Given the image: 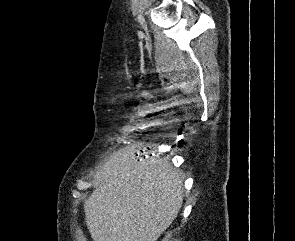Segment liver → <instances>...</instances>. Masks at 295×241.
I'll use <instances>...</instances> for the list:
<instances>
[{
  "label": "liver",
  "mask_w": 295,
  "mask_h": 241,
  "mask_svg": "<svg viewBox=\"0 0 295 241\" xmlns=\"http://www.w3.org/2000/svg\"><path fill=\"white\" fill-rule=\"evenodd\" d=\"M135 146L115 152L98 172L84 202L94 241H157L183 203V179L158 154L138 161Z\"/></svg>",
  "instance_id": "liver-1"
}]
</instances>
